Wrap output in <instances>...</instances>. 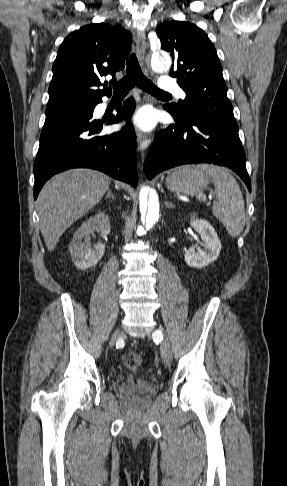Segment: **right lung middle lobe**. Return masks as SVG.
<instances>
[{"label":"right lung middle lobe","mask_w":287,"mask_h":486,"mask_svg":"<svg viewBox=\"0 0 287 486\" xmlns=\"http://www.w3.org/2000/svg\"><path fill=\"white\" fill-rule=\"evenodd\" d=\"M92 104H75L70 106L46 109L44 125L58 123L63 120L84 117L89 113Z\"/></svg>","instance_id":"right-lung-middle-lobe-1"}]
</instances>
